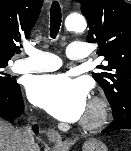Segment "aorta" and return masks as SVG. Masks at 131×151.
I'll return each mask as SVG.
<instances>
[{"label": "aorta", "mask_w": 131, "mask_h": 151, "mask_svg": "<svg viewBox=\"0 0 131 151\" xmlns=\"http://www.w3.org/2000/svg\"><path fill=\"white\" fill-rule=\"evenodd\" d=\"M65 26L68 31L82 32L86 29V21L80 14H71L66 18Z\"/></svg>", "instance_id": "762f6f07"}]
</instances>
